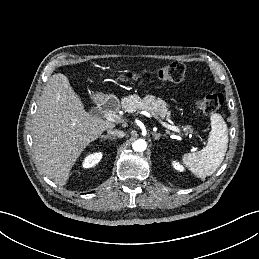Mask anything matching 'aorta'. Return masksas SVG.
Masks as SVG:
<instances>
[{
  "instance_id": "1",
  "label": "aorta",
  "mask_w": 259,
  "mask_h": 259,
  "mask_svg": "<svg viewBox=\"0 0 259 259\" xmlns=\"http://www.w3.org/2000/svg\"><path fill=\"white\" fill-rule=\"evenodd\" d=\"M146 147H147V144L143 139H138L132 144V148L136 152H143L146 150Z\"/></svg>"
}]
</instances>
